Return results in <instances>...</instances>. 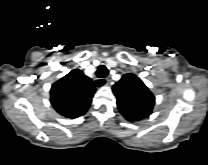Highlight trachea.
Listing matches in <instances>:
<instances>
[{"mask_svg": "<svg viewBox=\"0 0 208 165\" xmlns=\"http://www.w3.org/2000/svg\"><path fill=\"white\" fill-rule=\"evenodd\" d=\"M108 75V69L105 65H100L97 69L96 76L98 78H105ZM97 86H100L97 82Z\"/></svg>", "mask_w": 208, "mask_h": 165, "instance_id": "trachea-1", "label": "trachea"}]
</instances>
